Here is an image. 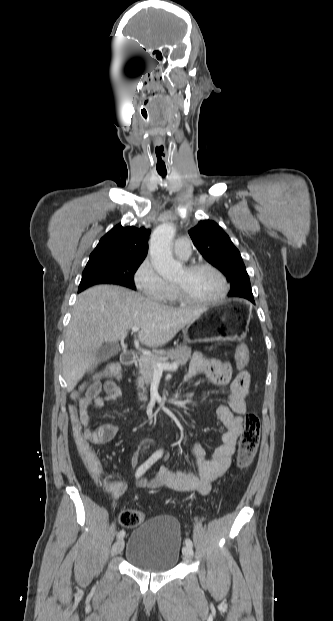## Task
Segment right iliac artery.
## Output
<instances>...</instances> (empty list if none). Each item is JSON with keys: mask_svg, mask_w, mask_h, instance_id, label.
<instances>
[{"mask_svg": "<svg viewBox=\"0 0 333 621\" xmlns=\"http://www.w3.org/2000/svg\"><path fill=\"white\" fill-rule=\"evenodd\" d=\"M160 455L158 453L152 454L139 468L136 470L135 477L139 478L142 476L158 459ZM125 536V531L121 530L117 534L118 539H122Z\"/></svg>", "mask_w": 333, "mask_h": 621, "instance_id": "1", "label": "right iliac artery"}]
</instances>
